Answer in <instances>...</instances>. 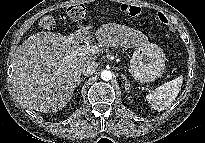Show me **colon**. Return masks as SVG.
<instances>
[{
  "label": "colon",
  "mask_w": 205,
  "mask_h": 143,
  "mask_svg": "<svg viewBox=\"0 0 205 143\" xmlns=\"http://www.w3.org/2000/svg\"><path fill=\"white\" fill-rule=\"evenodd\" d=\"M121 11L128 16H138L141 9L135 5H122ZM68 16L73 20H82L86 15V8L83 4H74L67 9ZM159 19L169 25V21L162 14L158 15ZM40 26L44 29L54 28L56 21L53 15L47 14L40 19Z\"/></svg>",
  "instance_id": "colon-1"
}]
</instances>
